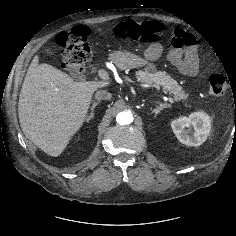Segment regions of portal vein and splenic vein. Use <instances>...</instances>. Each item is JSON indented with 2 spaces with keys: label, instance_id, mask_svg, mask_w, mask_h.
Segmentation results:
<instances>
[{
  "label": "portal vein and splenic vein",
  "instance_id": "obj_1",
  "mask_svg": "<svg viewBox=\"0 0 236 236\" xmlns=\"http://www.w3.org/2000/svg\"><path fill=\"white\" fill-rule=\"evenodd\" d=\"M98 75L100 76L101 79L105 81L110 80L109 74L103 69L98 70ZM168 100L170 103H174V100L172 98H168Z\"/></svg>",
  "mask_w": 236,
  "mask_h": 236
}]
</instances>
